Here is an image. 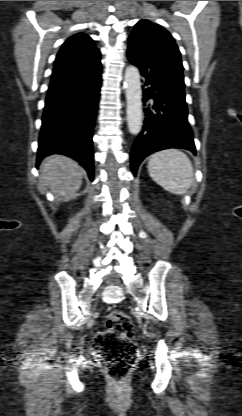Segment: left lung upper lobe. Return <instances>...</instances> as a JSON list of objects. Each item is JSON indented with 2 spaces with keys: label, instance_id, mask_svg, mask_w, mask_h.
<instances>
[{
  "label": "left lung upper lobe",
  "instance_id": "5c2ea615",
  "mask_svg": "<svg viewBox=\"0 0 242 416\" xmlns=\"http://www.w3.org/2000/svg\"><path fill=\"white\" fill-rule=\"evenodd\" d=\"M129 41L160 58L169 67L173 76L184 85L181 54L167 30L148 20H141L135 25Z\"/></svg>",
  "mask_w": 242,
  "mask_h": 416
}]
</instances>
